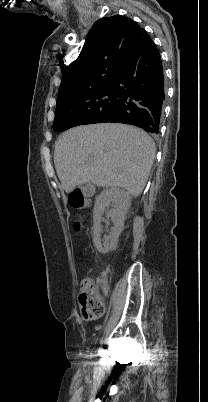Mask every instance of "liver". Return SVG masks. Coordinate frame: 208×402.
Here are the masks:
<instances>
[{
    "label": "liver",
    "mask_w": 208,
    "mask_h": 402,
    "mask_svg": "<svg viewBox=\"0 0 208 402\" xmlns=\"http://www.w3.org/2000/svg\"><path fill=\"white\" fill-rule=\"evenodd\" d=\"M155 158V144L126 124H92L59 136L54 150L57 176L67 194L76 186H120L137 198Z\"/></svg>",
    "instance_id": "liver-1"
}]
</instances>
